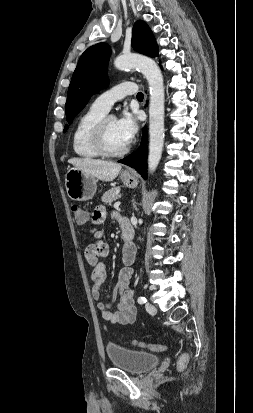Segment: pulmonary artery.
<instances>
[{
    "instance_id": "obj_1",
    "label": "pulmonary artery",
    "mask_w": 253,
    "mask_h": 413,
    "mask_svg": "<svg viewBox=\"0 0 253 413\" xmlns=\"http://www.w3.org/2000/svg\"><path fill=\"white\" fill-rule=\"evenodd\" d=\"M137 92V86L133 82H122L111 89L99 95L93 102L92 106L104 113H107L112 105L127 95H134Z\"/></svg>"
}]
</instances>
